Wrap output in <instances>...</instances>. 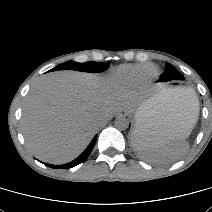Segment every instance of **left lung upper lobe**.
I'll list each match as a JSON object with an SVG mask.
<instances>
[{"mask_svg": "<svg viewBox=\"0 0 212 212\" xmlns=\"http://www.w3.org/2000/svg\"><path fill=\"white\" fill-rule=\"evenodd\" d=\"M166 71L160 75L158 82L182 80L183 76L170 64H166Z\"/></svg>", "mask_w": 212, "mask_h": 212, "instance_id": "left-lung-upper-lobe-1", "label": "left lung upper lobe"}]
</instances>
